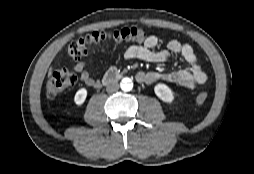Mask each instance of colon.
<instances>
[{
  "mask_svg": "<svg viewBox=\"0 0 254 174\" xmlns=\"http://www.w3.org/2000/svg\"><path fill=\"white\" fill-rule=\"evenodd\" d=\"M146 39V32L137 27H127L110 31H94L71 42L68 46V54L70 57L78 59L85 56L90 48L105 43H142ZM76 81V75L67 69H60L54 72L46 86L47 96L51 99L60 96L72 87ZM207 97L208 94L206 92L199 93L195 98L196 103H204Z\"/></svg>",
  "mask_w": 254,
  "mask_h": 174,
  "instance_id": "5ec220e1",
  "label": "colon"
}]
</instances>
